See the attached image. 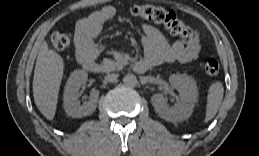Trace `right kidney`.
Masks as SVG:
<instances>
[{"label": "right kidney", "instance_id": "ca27d5eb", "mask_svg": "<svg viewBox=\"0 0 259 156\" xmlns=\"http://www.w3.org/2000/svg\"><path fill=\"white\" fill-rule=\"evenodd\" d=\"M88 74L84 70H75L71 73L64 91V109L68 116L73 118H81L91 115L96 107L99 98V91L93 89L87 102L82 105L78 102L79 90L86 83Z\"/></svg>", "mask_w": 259, "mask_h": 156}]
</instances>
